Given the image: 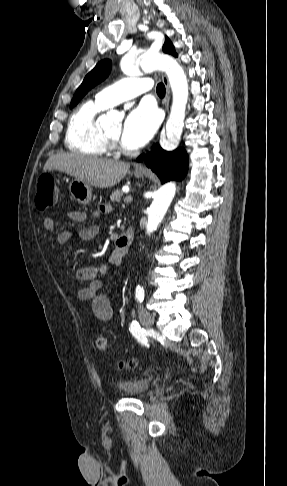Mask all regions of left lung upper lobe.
Instances as JSON below:
<instances>
[{"label":"left lung upper lobe","instance_id":"left-lung-upper-lobe-1","mask_svg":"<svg viewBox=\"0 0 287 486\" xmlns=\"http://www.w3.org/2000/svg\"><path fill=\"white\" fill-rule=\"evenodd\" d=\"M162 50L165 53L177 56L175 48L168 37L165 39ZM111 71V62L108 59L100 61L84 78L82 84L76 90L73 99L70 104V108H73L83 96L95 85L102 82Z\"/></svg>","mask_w":287,"mask_h":486}]
</instances>
